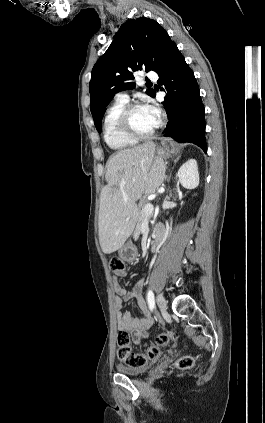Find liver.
Returning <instances> with one entry per match:
<instances>
[{"mask_svg": "<svg viewBox=\"0 0 265 423\" xmlns=\"http://www.w3.org/2000/svg\"><path fill=\"white\" fill-rule=\"evenodd\" d=\"M99 210V241L105 254L119 250L132 234L137 217L136 202L154 193L165 178L163 159L155 155V144L145 142L117 152L106 164Z\"/></svg>", "mask_w": 265, "mask_h": 423, "instance_id": "1", "label": "liver"}]
</instances>
